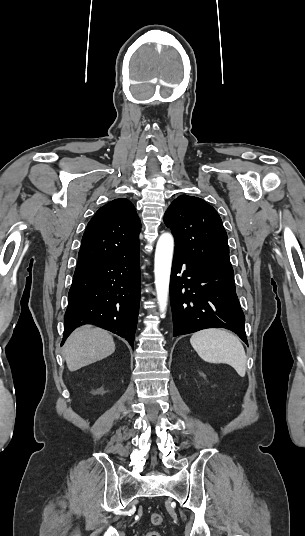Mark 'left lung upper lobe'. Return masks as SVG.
<instances>
[{
  "label": "left lung upper lobe",
  "instance_id": "5c2ea615",
  "mask_svg": "<svg viewBox=\"0 0 305 536\" xmlns=\"http://www.w3.org/2000/svg\"><path fill=\"white\" fill-rule=\"evenodd\" d=\"M164 222L172 230L175 252L198 262L232 269L222 220L203 199L177 197L167 209Z\"/></svg>",
  "mask_w": 305,
  "mask_h": 536
}]
</instances>
